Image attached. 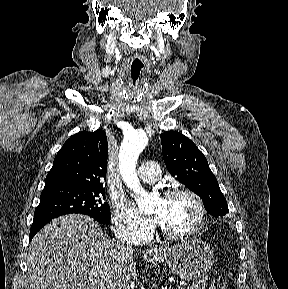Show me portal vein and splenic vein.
I'll return each instance as SVG.
<instances>
[{"mask_svg": "<svg viewBox=\"0 0 288 289\" xmlns=\"http://www.w3.org/2000/svg\"><path fill=\"white\" fill-rule=\"evenodd\" d=\"M177 289H183V287H180V286H179Z\"/></svg>", "mask_w": 288, "mask_h": 289, "instance_id": "portal-vein-and-splenic-vein-1", "label": "portal vein and splenic vein"}]
</instances>
